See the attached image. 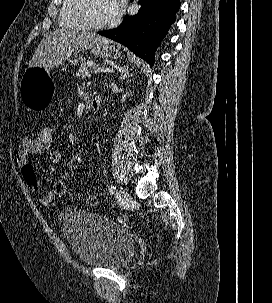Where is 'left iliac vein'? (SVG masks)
Wrapping results in <instances>:
<instances>
[{
	"label": "left iliac vein",
	"instance_id": "1",
	"mask_svg": "<svg viewBox=\"0 0 272 303\" xmlns=\"http://www.w3.org/2000/svg\"><path fill=\"white\" fill-rule=\"evenodd\" d=\"M118 197L121 201L122 204H129L130 201H131V196L130 194L127 192V191H124V190H120L118 192Z\"/></svg>",
	"mask_w": 272,
	"mask_h": 303
}]
</instances>
